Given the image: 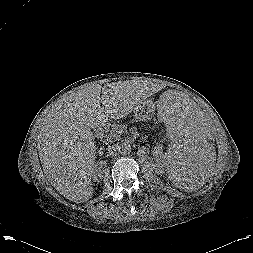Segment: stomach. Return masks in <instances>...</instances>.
Here are the masks:
<instances>
[{"instance_id":"obj_1","label":"stomach","mask_w":253,"mask_h":253,"mask_svg":"<svg viewBox=\"0 0 253 253\" xmlns=\"http://www.w3.org/2000/svg\"><path fill=\"white\" fill-rule=\"evenodd\" d=\"M155 115L154 105L142 103L134 110V116L139 121L150 120Z\"/></svg>"}]
</instances>
